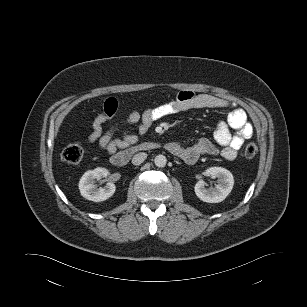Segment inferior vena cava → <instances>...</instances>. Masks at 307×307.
I'll return each mask as SVG.
<instances>
[{"label":"inferior vena cava","instance_id":"inferior-vena-cava-1","mask_svg":"<svg viewBox=\"0 0 307 307\" xmlns=\"http://www.w3.org/2000/svg\"><path fill=\"white\" fill-rule=\"evenodd\" d=\"M147 158V154L144 152L137 153L132 158V163L134 165H140Z\"/></svg>","mask_w":307,"mask_h":307}]
</instances>
